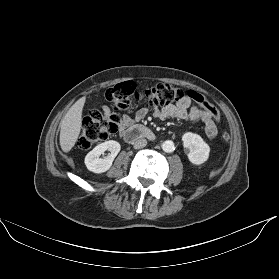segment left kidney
Masks as SVG:
<instances>
[{
    "instance_id": "1",
    "label": "left kidney",
    "mask_w": 279,
    "mask_h": 279,
    "mask_svg": "<svg viewBox=\"0 0 279 279\" xmlns=\"http://www.w3.org/2000/svg\"><path fill=\"white\" fill-rule=\"evenodd\" d=\"M184 151L192 164L200 165L208 160L210 147L200 135L186 132L182 136Z\"/></svg>"
}]
</instances>
